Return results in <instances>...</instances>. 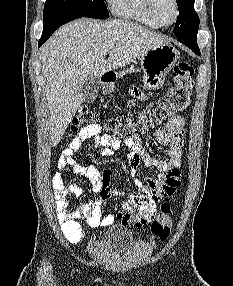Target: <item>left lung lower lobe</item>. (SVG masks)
Masks as SVG:
<instances>
[{
    "mask_svg": "<svg viewBox=\"0 0 233 286\" xmlns=\"http://www.w3.org/2000/svg\"><path fill=\"white\" fill-rule=\"evenodd\" d=\"M197 33L189 34L186 36L177 37V40L189 47L195 54L200 55V50L197 45Z\"/></svg>",
    "mask_w": 233,
    "mask_h": 286,
    "instance_id": "1",
    "label": "left lung lower lobe"
}]
</instances>
